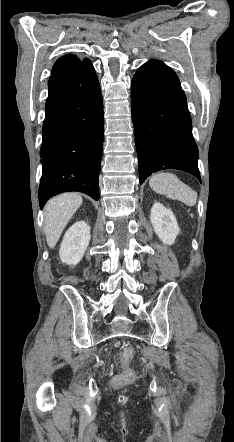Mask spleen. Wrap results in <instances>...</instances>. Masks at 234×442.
<instances>
[{"instance_id":"3e777b00","label":"spleen","mask_w":234,"mask_h":442,"mask_svg":"<svg viewBox=\"0 0 234 442\" xmlns=\"http://www.w3.org/2000/svg\"><path fill=\"white\" fill-rule=\"evenodd\" d=\"M149 185L154 192L173 200H179L187 206L196 204L197 193L172 173L161 172L152 175Z\"/></svg>"}]
</instances>
